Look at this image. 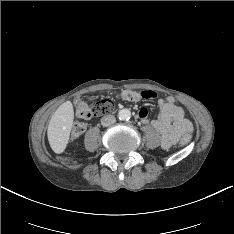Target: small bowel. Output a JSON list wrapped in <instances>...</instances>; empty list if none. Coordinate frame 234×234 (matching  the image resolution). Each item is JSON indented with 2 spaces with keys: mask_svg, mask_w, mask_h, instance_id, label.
Instances as JSON below:
<instances>
[{
  "mask_svg": "<svg viewBox=\"0 0 234 234\" xmlns=\"http://www.w3.org/2000/svg\"><path fill=\"white\" fill-rule=\"evenodd\" d=\"M155 97V93L144 91ZM141 97H124L125 101H138ZM148 99V98H146ZM159 113L156 119L151 121L152 127L162 135V148L170 149L184 133L193 130L192 123L185 117L184 110L179 106L174 97L167 96L158 100ZM138 117L143 124H149L148 109L142 107L138 111Z\"/></svg>",
  "mask_w": 234,
  "mask_h": 234,
  "instance_id": "1",
  "label": "small bowel"
}]
</instances>
